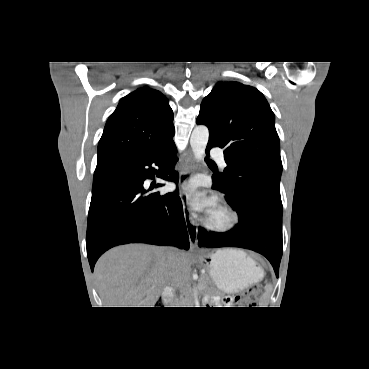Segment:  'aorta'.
Returning a JSON list of instances; mask_svg holds the SVG:
<instances>
[{
  "label": "aorta",
  "instance_id": "1",
  "mask_svg": "<svg viewBox=\"0 0 369 369\" xmlns=\"http://www.w3.org/2000/svg\"><path fill=\"white\" fill-rule=\"evenodd\" d=\"M208 139L209 130L205 125H198L194 128L190 138V145L195 159L198 161L204 157Z\"/></svg>",
  "mask_w": 369,
  "mask_h": 369
}]
</instances>
